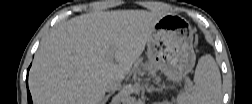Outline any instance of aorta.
Wrapping results in <instances>:
<instances>
[{
	"instance_id": "762f6f07",
	"label": "aorta",
	"mask_w": 252,
	"mask_h": 104,
	"mask_svg": "<svg viewBox=\"0 0 252 104\" xmlns=\"http://www.w3.org/2000/svg\"><path fill=\"white\" fill-rule=\"evenodd\" d=\"M124 104H133L135 102V98L131 97L128 94H125L122 98Z\"/></svg>"
}]
</instances>
